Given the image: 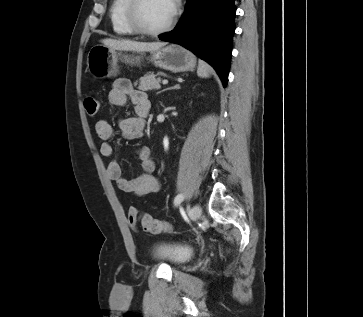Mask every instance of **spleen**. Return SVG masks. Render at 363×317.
Listing matches in <instances>:
<instances>
[{
    "instance_id": "1",
    "label": "spleen",
    "mask_w": 363,
    "mask_h": 317,
    "mask_svg": "<svg viewBox=\"0 0 363 317\" xmlns=\"http://www.w3.org/2000/svg\"><path fill=\"white\" fill-rule=\"evenodd\" d=\"M211 72V67L203 60H199L197 74L201 78L209 77Z\"/></svg>"
}]
</instances>
